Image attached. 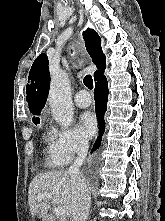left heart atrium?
I'll return each instance as SVG.
<instances>
[{
	"label": "left heart atrium",
	"instance_id": "39dd6f15",
	"mask_svg": "<svg viewBox=\"0 0 165 221\" xmlns=\"http://www.w3.org/2000/svg\"><path fill=\"white\" fill-rule=\"evenodd\" d=\"M80 126L87 137H92L97 128V120L93 113L84 112L80 116Z\"/></svg>",
	"mask_w": 165,
	"mask_h": 221
}]
</instances>
